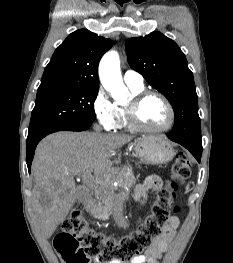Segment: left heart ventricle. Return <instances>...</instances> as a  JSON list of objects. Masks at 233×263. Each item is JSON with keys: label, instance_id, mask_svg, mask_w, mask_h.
I'll return each instance as SVG.
<instances>
[{"label": "left heart ventricle", "instance_id": "obj_1", "mask_svg": "<svg viewBox=\"0 0 233 263\" xmlns=\"http://www.w3.org/2000/svg\"><path fill=\"white\" fill-rule=\"evenodd\" d=\"M138 117L143 125L158 128L168 122L169 114L160 98L150 96L142 102L138 111Z\"/></svg>", "mask_w": 233, "mask_h": 263}]
</instances>
